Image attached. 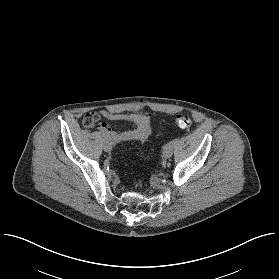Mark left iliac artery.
I'll return each mask as SVG.
<instances>
[{"label":"left iliac artery","mask_w":279,"mask_h":279,"mask_svg":"<svg viewBox=\"0 0 279 279\" xmlns=\"http://www.w3.org/2000/svg\"><path fill=\"white\" fill-rule=\"evenodd\" d=\"M178 139H174L173 141L169 142L168 144H166L165 148H172L176 142H177Z\"/></svg>","instance_id":"obj_1"}]
</instances>
